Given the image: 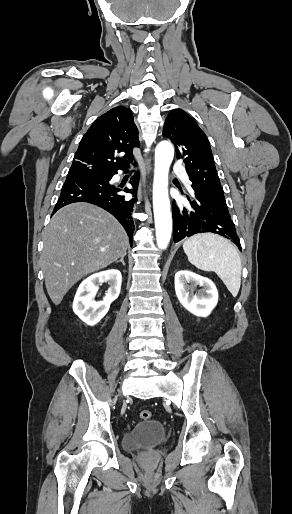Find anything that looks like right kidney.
Here are the masks:
<instances>
[{"instance_id":"right-kidney-1","label":"right kidney","mask_w":292,"mask_h":514,"mask_svg":"<svg viewBox=\"0 0 292 514\" xmlns=\"http://www.w3.org/2000/svg\"><path fill=\"white\" fill-rule=\"evenodd\" d=\"M107 282L109 288L101 302H95V294ZM122 276L119 270H106L92 274L80 284L73 302V312L88 326H95L106 316L110 304L118 298L121 290Z\"/></svg>"}]
</instances>
